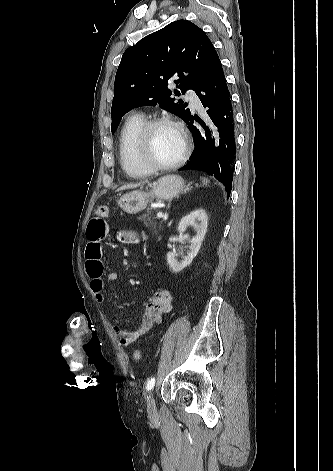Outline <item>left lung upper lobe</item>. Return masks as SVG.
<instances>
[{
	"instance_id": "5c2ea615",
	"label": "left lung upper lobe",
	"mask_w": 333,
	"mask_h": 471,
	"mask_svg": "<svg viewBox=\"0 0 333 471\" xmlns=\"http://www.w3.org/2000/svg\"><path fill=\"white\" fill-rule=\"evenodd\" d=\"M215 55L205 32L187 20L174 21L129 47L115 77L111 132L125 113L140 106L159 104L186 122L188 104L171 98L168 80L176 83L177 96L196 90Z\"/></svg>"
}]
</instances>
